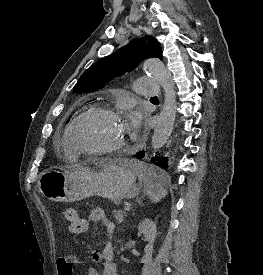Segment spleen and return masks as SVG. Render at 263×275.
Wrapping results in <instances>:
<instances>
[{"label": "spleen", "mask_w": 263, "mask_h": 275, "mask_svg": "<svg viewBox=\"0 0 263 275\" xmlns=\"http://www.w3.org/2000/svg\"><path fill=\"white\" fill-rule=\"evenodd\" d=\"M129 166L133 169L140 183L144 184V192L151 202L157 203L167 194L162 184L152 178L151 172L142 162L130 161Z\"/></svg>", "instance_id": "spleen-1"}]
</instances>
